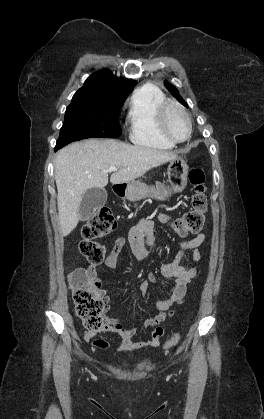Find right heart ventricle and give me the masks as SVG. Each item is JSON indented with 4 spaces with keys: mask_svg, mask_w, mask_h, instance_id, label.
<instances>
[{
    "mask_svg": "<svg viewBox=\"0 0 264 419\" xmlns=\"http://www.w3.org/2000/svg\"><path fill=\"white\" fill-rule=\"evenodd\" d=\"M164 101V93L150 84L133 92L128 102L127 123L129 138L134 144L158 150L174 148L175 144L167 141L158 129V109Z\"/></svg>",
    "mask_w": 264,
    "mask_h": 419,
    "instance_id": "e07e8e85",
    "label": "right heart ventricle"
}]
</instances>
